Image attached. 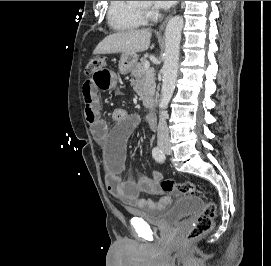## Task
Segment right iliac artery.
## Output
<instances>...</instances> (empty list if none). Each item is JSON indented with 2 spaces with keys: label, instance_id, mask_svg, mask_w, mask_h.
<instances>
[{
  "label": "right iliac artery",
  "instance_id": "82829eb1",
  "mask_svg": "<svg viewBox=\"0 0 271 266\" xmlns=\"http://www.w3.org/2000/svg\"><path fill=\"white\" fill-rule=\"evenodd\" d=\"M152 155H153L154 159L158 162H163L165 159L164 153L162 152V150L159 147H155L152 150Z\"/></svg>",
  "mask_w": 271,
  "mask_h": 266
}]
</instances>
